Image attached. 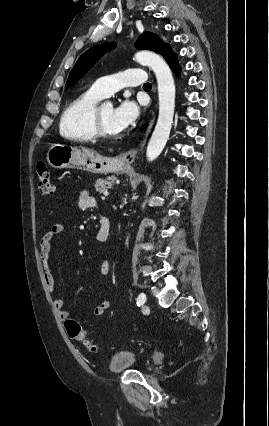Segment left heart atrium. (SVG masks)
I'll return each mask as SVG.
<instances>
[{
  "instance_id": "left-heart-atrium-1",
  "label": "left heart atrium",
  "mask_w": 269,
  "mask_h": 426,
  "mask_svg": "<svg viewBox=\"0 0 269 426\" xmlns=\"http://www.w3.org/2000/svg\"><path fill=\"white\" fill-rule=\"evenodd\" d=\"M139 113L140 109L134 101L125 100L113 111V125L117 130L123 131L135 123Z\"/></svg>"
}]
</instances>
